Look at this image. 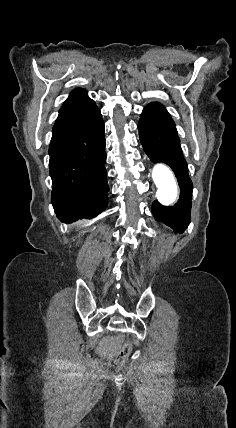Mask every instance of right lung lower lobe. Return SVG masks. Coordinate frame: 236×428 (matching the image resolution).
Segmentation results:
<instances>
[{
	"instance_id": "98d812e1",
	"label": "right lung lower lobe",
	"mask_w": 236,
	"mask_h": 428,
	"mask_svg": "<svg viewBox=\"0 0 236 428\" xmlns=\"http://www.w3.org/2000/svg\"><path fill=\"white\" fill-rule=\"evenodd\" d=\"M49 155L51 203L61 222L94 218L106 209L104 123L96 105L59 113Z\"/></svg>"
}]
</instances>
